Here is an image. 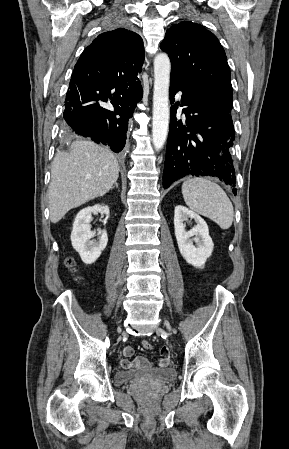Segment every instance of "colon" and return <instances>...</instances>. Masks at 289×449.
<instances>
[{
    "mask_svg": "<svg viewBox=\"0 0 289 449\" xmlns=\"http://www.w3.org/2000/svg\"><path fill=\"white\" fill-rule=\"evenodd\" d=\"M66 265H67L69 268H74L75 263H74V261H73L72 258H68V259L66 260ZM142 346H143V348H145V349H147V350H149V349L152 348V344H151L149 341H147V340H144V341L142 342Z\"/></svg>",
    "mask_w": 289,
    "mask_h": 449,
    "instance_id": "5ec220e1",
    "label": "colon"
}]
</instances>
